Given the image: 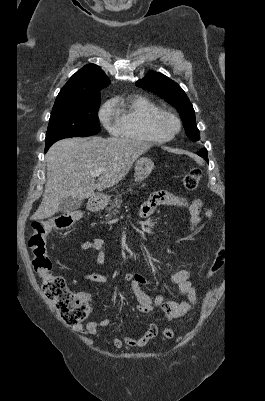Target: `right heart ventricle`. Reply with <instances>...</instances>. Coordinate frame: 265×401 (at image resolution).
<instances>
[{
  "instance_id": "1",
  "label": "right heart ventricle",
  "mask_w": 265,
  "mask_h": 401,
  "mask_svg": "<svg viewBox=\"0 0 265 401\" xmlns=\"http://www.w3.org/2000/svg\"><path fill=\"white\" fill-rule=\"evenodd\" d=\"M116 118L113 134L119 137L156 142L149 131L148 119L159 107L138 93H119L110 102Z\"/></svg>"
}]
</instances>
